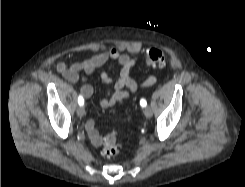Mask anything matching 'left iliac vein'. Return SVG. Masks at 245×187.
Returning <instances> with one entry per match:
<instances>
[{
  "label": "left iliac vein",
  "instance_id": "obj_1",
  "mask_svg": "<svg viewBox=\"0 0 245 187\" xmlns=\"http://www.w3.org/2000/svg\"><path fill=\"white\" fill-rule=\"evenodd\" d=\"M143 112H144V115L147 118H151V116H152V109H151L150 106H145L144 109H143Z\"/></svg>",
  "mask_w": 245,
  "mask_h": 187
}]
</instances>
